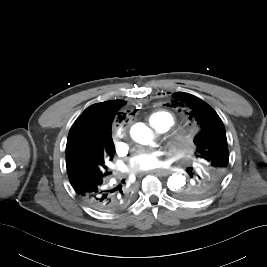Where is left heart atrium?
Wrapping results in <instances>:
<instances>
[{"label": "left heart atrium", "instance_id": "1", "mask_svg": "<svg viewBox=\"0 0 267 267\" xmlns=\"http://www.w3.org/2000/svg\"><path fill=\"white\" fill-rule=\"evenodd\" d=\"M161 156V151L140 152L131 158L127 171L131 174H140L155 170L163 164Z\"/></svg>", "mask_w": 267, "mask_h": 267}]
</instances>
